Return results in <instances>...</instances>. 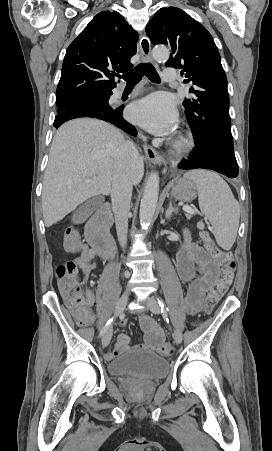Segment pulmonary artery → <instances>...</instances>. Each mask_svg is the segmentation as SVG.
<instances>
[{"label":"pulmonary artery","instance_id":"e3ab8cb5","mask_svg":"<svg viewBox=\"0 0 272 451\" xmlns=\"http://www.w3.org/2000/svg\"><path fill=\"white\" fill-rule=\"evenodd\" d=\"M176 68L172 65H167L164 70H162L161 72V77L162 79H164V81H166L168 84H172L175 85L178 83V78L176 77ZM122 92L121 91H116L114 92V94L112 95V99L116 100L119 97H121Z\"/></svg>","mask_w":272,"mask_h":451}]
</instances>
